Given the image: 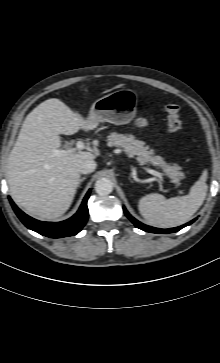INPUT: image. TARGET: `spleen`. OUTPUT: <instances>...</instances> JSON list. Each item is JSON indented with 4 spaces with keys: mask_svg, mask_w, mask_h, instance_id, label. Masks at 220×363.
<instances>
[{
    "mask_svg": "<svg viewBox=\"0 0 220 363\" xmlns=\"http://www.w3.org/2000/svg\"><path fill=\"white\" fill-rule=\"evenodd\" d=\"M206 180L207 173L203 172L191 187L190 193L182 197L165 199L158 193L148 194L139 200V211L146 222L155 227L169 228L182 225L189 221L203 204L208 190Z\"/></svg>",
    "mask_w": 220,
    "mask_h": 363,
    "instance_id": "3e777b00",
    "label": "spleen"
}]
</instances>
